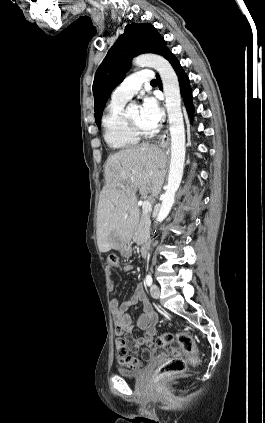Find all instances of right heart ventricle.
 I'll use <instances>...</instances> for the list:
<instances>
[{
    "label": "right heart ventricle",
    "instance_id": "right-heart-ventricle-1",
    "mask_svg": "<svg viewBox=\"0 0 265 423\" xmlns=\"http://www.w3.org/2000/svg\"><path fill=\"white\" fill-rule=\"evenodd\" d=\"M125 103V101L112 99L102 118L104 139L111 148L118 150L130 149L139 143V136L129 128L125 121Z\"/></svg>",
    "mask_w": 265,
    "mask_h": 423
}]
</instances>
